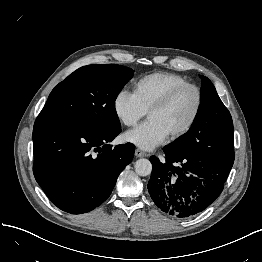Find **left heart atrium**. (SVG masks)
<instances>
[{
	"instance_id": "39dd6f15",
	"label": "left heart atrium",
	"mask_w": 262,
	"mask_h": 262,
	"mask_svg": "<svg viewBox=\"0 0 262 262\" xmlns=\"http://www.w3.org/2000/svg\"><path fill=\"white\" fill-rule=\"evenodd\" d=\"M167 137L168 135L164 129L156 121L150 119L124 135L127 142L145 150H150L162 144Z\"/></svg>"
}]
</instances>
